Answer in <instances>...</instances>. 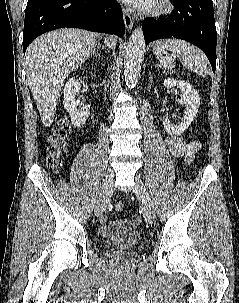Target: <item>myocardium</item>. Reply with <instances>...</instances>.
Returning a JSON list of instances; mask_svg holds the SVG:
<instances>
[{"instance_id":"f54148a6","label":"myocardium","mask_w":239,"mask_h":303,"mask_svg":"<svg viewBox=\"0 0 239 303\" xmlns=\"http://www.w3.org/2000/svg\"><path fill=\"white\" fill-rule=\"evenodd\" d=\"M173 10L172 0H153L145 9V13L150 16H161Z\"/></svg>"}]
</instances>
